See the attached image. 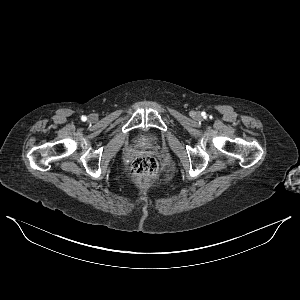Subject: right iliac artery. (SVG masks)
<instances>
[{"label":"right iliac artery","mask_w":300,"mask_h":300,"mask_svg":"<svg viewBox=\"0 0 300 300\" xmlns=\"http://www.w3.org/2000/svg\"><path fill=\"white\" fill-rule=\"evenodd\" d=\"M81 120H82V121H86V120H87L86 116H82V117H81Z\"/></svg>","instance_id":"right-iliac-artery-1"}]
</instances>
